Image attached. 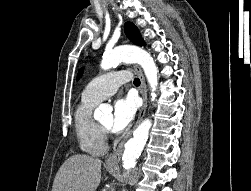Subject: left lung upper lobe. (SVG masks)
Listing matches in <instances>:
<instances>
[{
  "instance_id": "obj_1",
  "label": "left lung upper lobe",
  "mask_w": 251,
  "mask_h": 191,
  "mask_svg": "<svg viewBox=\"0 0 251 191\" xmlns=\"http://www.w3.org/2000/svg\"><path fill=\"white\" fill-rule=\"evenodd\" d=\"M125 33L127 35V37L136 45H140V46H144L145 42L143 41L141 34L139 32V30L137 29V27L130 23L127 22L125 24ZM82 74V70L79 71L78 73V77L79 78Z\"/></svg>"
}]
</instances>
